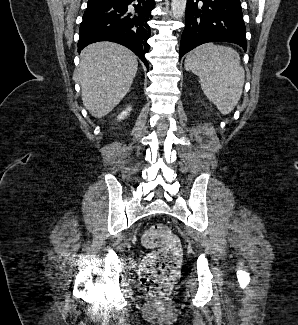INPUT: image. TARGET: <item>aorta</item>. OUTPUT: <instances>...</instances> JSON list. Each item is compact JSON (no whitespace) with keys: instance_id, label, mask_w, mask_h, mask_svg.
<instances>
[{"instance_id":"1","label":"aorta","mask_w":298,"mask_h":325,"mask_svg":"<svg viewBox=\"0 0 298 325\" xmlns=\"http://www.w3.org/2000/svg\"><path fill=\"white\" fill-rule=\"evenodd\" d=\"M187 0H171L173 18H182L185 14Z\"/></svg>"}]
</instances>
